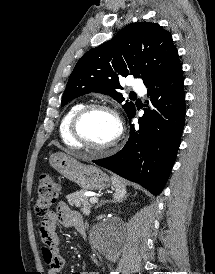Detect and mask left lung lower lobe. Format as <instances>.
Masks as SVG:
<instances>
[{"mask_svg": "<svg viewBox=\"0 0 215 274\" xmlns=\"http://www.w3.org/2000/svg\"><path fill=\"white\" fill-rule=\"evenodd\" d=\"M146 87L150 102L157 110L144 109L139 129L131 125L129 139L122 150L93 162L159 195L175 162L184 128L182 66ZM134 116L135 111L128 116L129 121Z\"/></svg>", "mask_w": 215, "mask_h": 274, "instance_id": "1", "label": "left lung lower lobe"}]
</instances>
